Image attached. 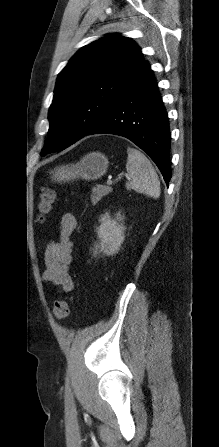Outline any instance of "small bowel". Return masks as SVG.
Wrapping results in <instances>:
<instances>
[{
    "mask_svg": "<svg viewBox=\"0 0 219 447\" xmlns=\"http://www.w3.org/2000/svg\"><path fill=\"white\" fill-rule=\"evenodd\" d=\"M76 225L75 216L72 213H64L58 224V238L51 242L45 251L43 280L58 286L65 292H70L74 288L68 270L73 254L71 235Z\"/></svg>",
    "mask_w": 219,
    "mask_h": 447,
    "instance_id": "small-bowel-1",
    "label": "small bowel"
}]
</instances>
